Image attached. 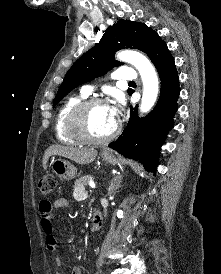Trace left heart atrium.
<instances>
[{
    "instance_id": "obj_1",
    "label": "left heart atrium",
    "mask_w": 221,
    "mask_h": 274,
    "mask_svg": "<svg viewBox=\"0 0 221 274\" xmlns=\"http://www.w3.org/2000/svg\"><path fill=\"white\" fill-rule=\"evenodd\" d=\"M121 109H122V101L121 100H119L116 104H114L113 106L110 107V113L115 120L120 115Z\"/></svg>"
}]
</instances>
